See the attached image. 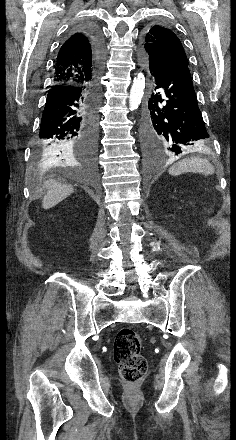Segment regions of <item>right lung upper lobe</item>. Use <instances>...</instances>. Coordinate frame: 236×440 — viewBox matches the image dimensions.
<instances>
[{
  "instance_id": "right-lung-upper-lobe-1",
  "label": "right lung upper lobe",
  "mask_w": 236,
  "mask_h": 440,
  "mask_svg": "<svg viewBox=\"0 0 236 440\" xmlns=\"http://www.w3.org/2000/svg\"><path fill=\"white\" fill-rule=\"evenodd\" d=\"M95 78L94 57L88 37L76 31L61 46L54 65L53 85L90 84Z\"/></svg>"
}]
</instances>
